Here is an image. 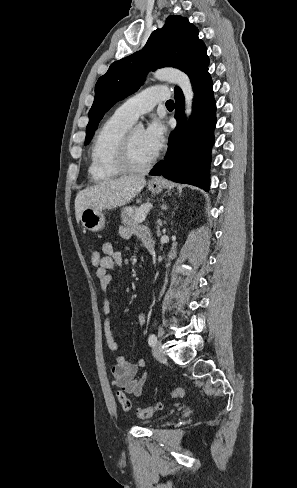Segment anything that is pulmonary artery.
Wrapping results in <instances>:
<instances>
[{"instance_id": "1", "label": "pulmonary artery", "mask_w": 297, "mask_h": 488, "mask_svg": "<svg viewBox=\"0 0 297 488\" xmlns=\"http://www.w3.org/2000/svg\"><path fill=\"white\" fill-rule=\"evenodd\" d=\"M169 91L162 86H152L123 102L115 111L121 118L133 123L137 118L149 111L156 103L167 100Z\"/></svg>"}]
</instances>
